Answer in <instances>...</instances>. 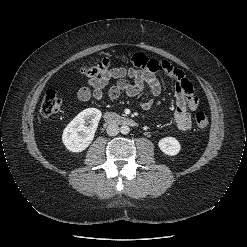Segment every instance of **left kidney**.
<instances>
[{"instance_id": "5707ae66", "label": "left kidney", "mask_w": 247, "mask_h": 247, "mask_svg": "<svg viewBox=\"0 0 247 247\" xmlns=\"http://www.w3.org/2000/svg\"><path fill=\"white\" fill-rule=\"evenodd\" d=\"M158 146L164 154L169 156H175L181 150V145L179 141L173 137L162 138L158 142Z\"/></svg>"}]
</instances>
